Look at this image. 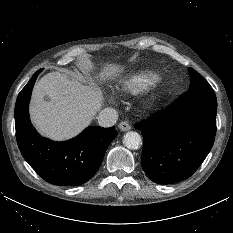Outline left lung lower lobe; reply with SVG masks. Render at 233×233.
<instances>
[{
  "label": "left lung lower lobe",
  "instance_id": "1",
  "mask_svg": "<svg viewBox=\"0 0 233 233\" xmlns=\"http://www.w3.org/2000/svg\"><path fill=\"white\" fill-rule=\"evenodd\" d=\"M217 99L211 87L189 89L170 106L135 125L143 136L141 165L155 183L189 178L210 152Z\"/></svg>",
  "mask_w": 233,
  "mask_h": 233
}]
</instances>
